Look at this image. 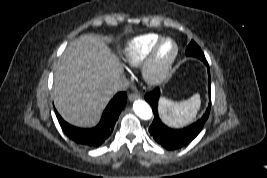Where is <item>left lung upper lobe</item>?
<instances>
[{
  "instance_id": "1",
  "label": "left lung upper lobe",
  "mask_w": 267,
  "mask_h": 178,
  "mask_svg": "<svg viewBox=\"0 0 267 178\" xmlns=\"http://www.w3.org/2000/svg\"><path fill=\"white\" fill-rule=\"evenodd\" d=\"M186 55L197 57V58L201 59L203 62H207L200 47L194 41H191L190 44L187 46Z\"/></svg>"
}]
</instances>
